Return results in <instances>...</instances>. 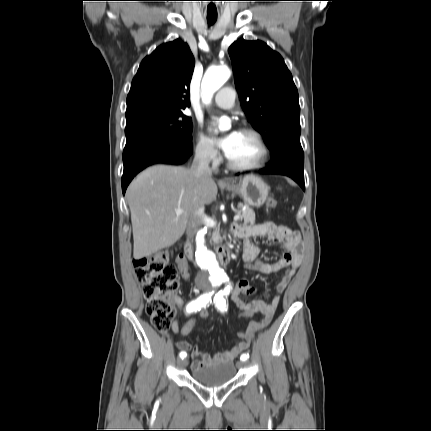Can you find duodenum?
<instances>
[{
  "label": "duodenum",
  "mask_w": 431,
  "mask_h": 431,
  "mask_svg": "<svg viewBox=\"0 0 431 431\" xmlns=\"http://www.w3.org/2000/svg\"><path fill=\"white\" fill-rule=\"evenodd\" d=\"M217 253H218L220 263L222 265L229 264L231 257H230V245L228 243H222L219 246ZM191 255H192V247H191V244L187 242L185 244V254L181 255L180 257H182L186 263V258L190 259Z\"/></svg>",
  "instance_id": "obj_1"
}]
</instances>
